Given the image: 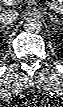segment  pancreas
<instances>
[{
    "label": "pancreas",
    "instance_id": "cf45deb5",
    "mask_svg": "<svg viewBox=\"0 0 63 107\" xmlns=\"http://www.w3.org/2000/svg\"><path fill=\"white\" fill-rule=\"evenodd\" d=\"M55 7L63 9V1L62 0H52L50 1Z\"/></svg>",
    "mask_w": 63,
    "mask_h": 107
}]
</instances>
